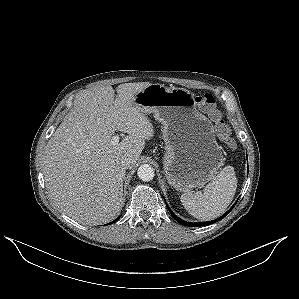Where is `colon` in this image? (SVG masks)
I'll return each mask as SVG.
<instances>
[{
	"mask_svg": "<svg viewBox=\"0 0 299 299\" xmlns=\"http://www.w3.org/2000/svg\"><path fill=\"white\" fill-rule=\"evenodd\" d=\"M196 102L213 122L218 137L229 146H233L229 126L223 118V114L217 105L215 97L211 93H202L196 97Z\"/></svg>",
	"mask_w": 299,
	"mask_h": 299,
	"instance_id": "5ec220e1",
	"label": "colon"
}]
</instances>
